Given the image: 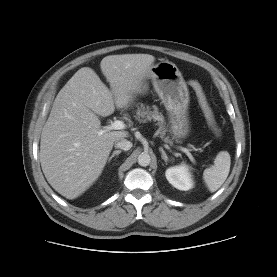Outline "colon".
<instances>
[{"instance_id": "1", "label": "colon", "mask_w": 277, "mask_h": 277, "mask_svg": "<svg viewBox=\"0 0 277 277\" xmlns=\"http://www.w3.org/2000/svg\"><path fill=\"white\" fill-rule=\"evenodd\" d=\"M189 85L192 87V89L194 90V92L197 96L199 105L203 111V114L205 116V119H206L209 127L211 128V130L213 131V133L215 135L220 136L221 129L218 126L214 112L207 100V97L203 91L201 84L196 80H191V81H189Z\"/></svg>"}]
</instances>
